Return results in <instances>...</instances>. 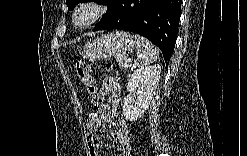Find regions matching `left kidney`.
Here are the masks:
<instances>
[{"label": "left kidney", "instance_id": "1", "mask_svg": "<svg viewBox=\"0 0 247 156\" xmlns=\"http://www.w3.org/2000/svg\"><path fill=\"white\" fill-rule=\"evenodd\" d=\"M160 65L136 69L128 82L129 95L123 102V114L129 121H136L147 110L160 79Z\"/></svg>", "mask_w": 247, "mask_h": 156}]
</instances>
